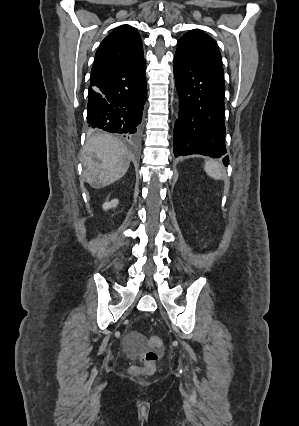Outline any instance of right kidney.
Segmentation results:
<instances>
[{
	"mask_svg": "<svg viewBox=\"0 0 299 426\" xmlns=\"http://www.w3.org/2000/svg\"><path fill=\"white\" fill-rule=\"evenodd\" d=\"M117 205H118V199H114V200H111L110 202H108V201L105 202L102 205V208L104 210H108V209H111V208H115Z\"/></svg>",
	"mask_w": 299,
	"mask_h": 426,
	"instance_id": "1",
	"label": "right kidney"
}]
</instances>
